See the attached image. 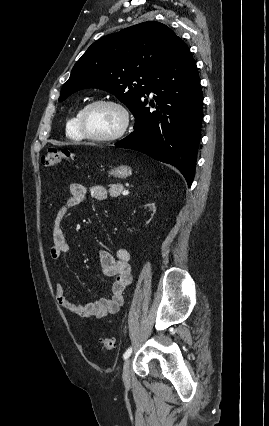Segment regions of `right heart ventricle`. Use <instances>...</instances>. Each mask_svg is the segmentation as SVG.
<instances>
[{"label": "right heart ventricle", "mask_w": 269, "mask_h": 426, "mask_svg": "<svg viewBox=\"0 0 269 426\" xmlns=\"http://www.w3.org/2000/svg\"><path fill=\"white\" fill-rule=\"evenodd\" d=\"M81 108L78 109L67 121L66 134L68 137L74 140H82L84 137L79 128V115Z\"/></svg>", "instance_id": "1"}]
</instances>
